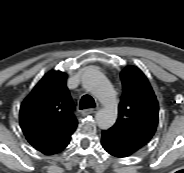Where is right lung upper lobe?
I'll list each match as a JSON object with an SVG mask.
<instances>
[{
	"label": "right lung upper lobe",
	"instance_id": "right-lung-upper-lobe-1",
	"mask_svg": "<svg viewBox=\"0 0 184 173\" xmlns=\"http://www.w3.org/2000/svg\"><path fill=\"white\" fill-rule=\"evenodd\" d=\"M66 80L64 72H48L21 105L22 131L28 142L45 155L60 151L77 127Z\"/></svg>",
	"mask_w": 184,
	"mask_h": 173
}]
</instances>
